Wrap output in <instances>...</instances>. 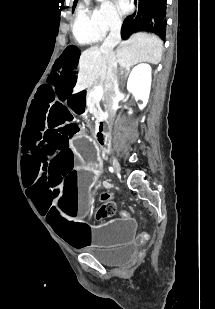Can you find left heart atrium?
Here are the masks:
<instances>
[{
	"mask_svg": "<svg viewBox=\"0 0 215 309\" xmlns=\"http://www.w3.org/2000/svg\"><path fill=\"white\" fill-rule=\"evenodd\" d=\"M116 3L118 4L119 7H124L125 6V1L124 0H116Z\"/></svg>",
	"mask_w": 215,
	"mask_h": 309,
	"instance_id": "1",
	"label": "left heart atrium"
}]
</instances>
